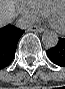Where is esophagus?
<instances>
[{"label": "esophagus", "instance_id": "obj_1", "mask_svg": "<svg viewBox=\"0 0 65 89\" xmlns=\"http://www.w3.org/2000/svg\"><path fill=\"white\" fill-rule=\"evenodd\" d=\"M27 30L33 31V32H40V33L44 31V29L39 26H32V27H29Z\"/></svg>", "mask_w": 65, "mask_h": 89}]
</instances>
